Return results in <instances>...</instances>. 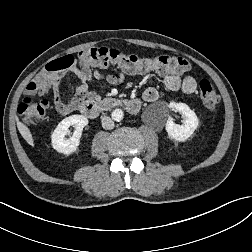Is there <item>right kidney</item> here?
Here are the masks:
<instances>
[{"label":"right kidney","instance_id":"right-kidney-1","mask_svg":"<svg viewBox=\"0 0 252 252\" xmlns=\"http://www.w3.org/2000/svg\"><path fill=\"white\" fill-rule=\"evenodd\" d=\"M88 124V119L82 115H72L63 119L51 135L53 148L59 152L69 155L75 152L80 145V138L83 128ZM75 126L73 136L66 139L69 134V127Z\"/></svg>","mask_w":252,"mask_h":252}]
</instances>
